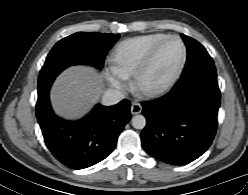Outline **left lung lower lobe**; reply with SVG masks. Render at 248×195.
Wrapping results in <instances>:
<instances>
[{"label":"left lung lower lobe","instance_id":"1","mask_svg":"<svg viewBox=\"0 0 248 195\" xmlns=\"http://www.w3.org/2000/svg\"><path fill=\"white\" fill-rule=\"evenodd\" d=\"M220 98L217 79L206 78L189 84L179 80L166 95L143 103L144 150L172 165L200 157L214 139Z\"/></svg>","mask_w":248,"mask_h":195}]
</instances>
